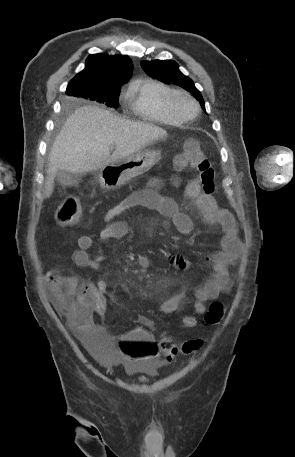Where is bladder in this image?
Returning <instances> with one entry per match:
<instances>
[{"instance_id": "obj_1", "label": "bladder", "mask_w": 295, "mask_h": 457, "mask_svg": "<svg viewBox=\"0 0 295 457\" xmlns=\"http://www.w3.org/2000/svg\"><path fill=\"white\" fill-rule=\"evenodd\" d=\"M79 347H89V356H96L101 365L108 367L113 364L109 356H115L114 338H79ZM163 366L162 362H127L126 371L130 375L145 374L155 377Z\"/></svg>"}]
</instances>
